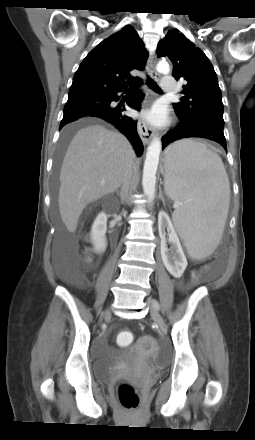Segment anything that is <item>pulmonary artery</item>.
Listing matches in <instances>:
<instances>
[{"label":"pulmonary artery","mask_w":255,"mask_h":440,"mask_svg":"<svg viewBox=\"0 0 255 440\" xmlns=\"http://www.w3.org/2000/svg\"><path fill=\"white\" fill-rule=\"evenodd\" d=\"M161 87L163 91L171 93L176 89V82L173 76L166 75L162 78Z\"/></svg>","instance_id":"obj_1"}]
</instances>
